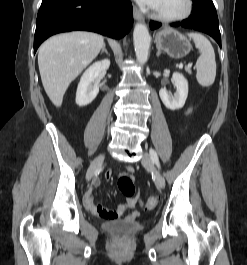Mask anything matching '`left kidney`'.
I'll list each match as a JSON object with an SVG mask.
<instances>
[{
	"instance_id": "left-kidney-1",
	"label": "left kidney",
	"mask_w": 247,
	"mask_h": 265,
	"mask_svg": "<svg viewBox=\"0 0 247 265\" xmlns=\"http://www.w3.org/2000/svg\"><path fill=\"white\" fill-rule=\"evenodd\" d=\"M172 80L176 87L174 96L169 95L164 88L160 89L159 95L166 108L174 111L181 109L185 104L188 96V82L180 73H173Z\"/></svg>"
}]
</instances>
